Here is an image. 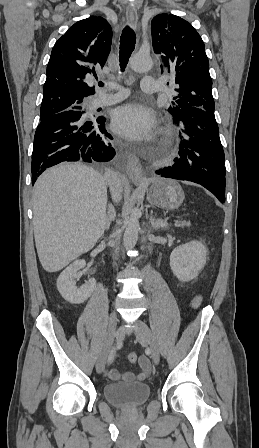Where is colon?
Wrapping results in <instances>:
<instances>
[{"mask_svg":"<svg viewBox=\"0 0 259 448\" xmlns=\"http://www.w3.org/2000/svg\"><path fill=\"white\" fill-rule=\"evenodd\" d=\"M128 360H129L131 363H136V362L139 360V357H138V355L135 354V353H130V354L128 355Z\"/></svg>","mask_w":259,"mask_h":448,"instance_id":"5ec220e1","label":"colon"}]
</instances>
